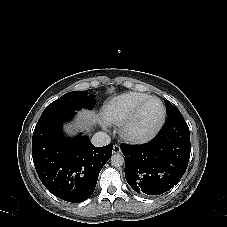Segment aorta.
<instances>
[{
    "instance_id": "obj_1",
    "label": "aorta",
    "mask_w": 227,
    "mask_h": 227,
    "mask_svg": "<svg viewBox=\"0 0 227 227\" xmlns=\"http://www.w3.org/2000/svg\"><path fill=\"white\" fill-rule=\"evenodd\" d=\"M124 162H125L124 155L121 153H115L111 157V164L114 167H120L124 164Z\"/></svg>"
}]
</instances>
